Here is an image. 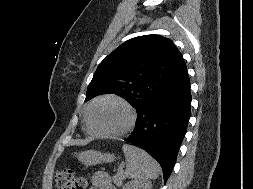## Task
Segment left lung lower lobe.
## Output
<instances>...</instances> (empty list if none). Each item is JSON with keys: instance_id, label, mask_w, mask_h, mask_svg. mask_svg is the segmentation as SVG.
<instances>
[{"instance_id": "left-lung-lower-lobe-1", "label": "left lung lower lobe", "mask_w": 253, "mask_h": 189, "mask_svg": "<svg viewBox=\"0 0 253 189\" xmlns=\"http://www.w3.org/2000/svg\"><path fill=\"white\" fill-rule=\"evenodd\" d=\"M186 65L176 78L137 112L135 129L125 141L147 151L162 166L164 182L176 162L191 115Z\"/></svg>"}]
</instances>
